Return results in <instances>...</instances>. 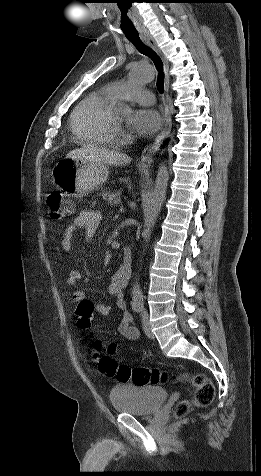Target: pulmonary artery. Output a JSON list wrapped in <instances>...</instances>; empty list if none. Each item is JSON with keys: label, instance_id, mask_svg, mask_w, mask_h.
<instances>
[{"label": "pulmonary artery", "instance_id": "pulmonary-artery-1", "mask_svg": "<svg viewBox=\"0 0 261 476\" xmlns=\"http://www.w3.org/2000/svg\"><path fill=\"white\" fill-rule=\"evenodd\" d=\"M107 91L115 99L137 102L143 105H152L155 102L154 94L141 87H129L126 83H114L107 87Z\"/></svg>", "mask_w": 261, "mask_h": 476}]
</instances>
